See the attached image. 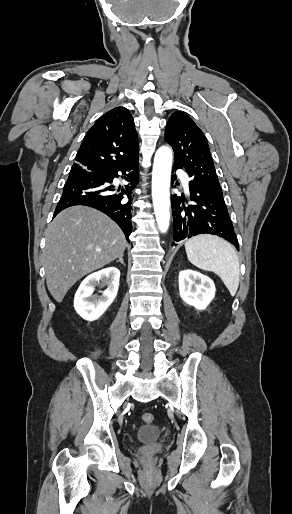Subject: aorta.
Masks as SVG:
<instances>
[{
  "instance_id": "obj_1",
  "label": "aorta",
  "mask_w": 292,
  "mask_h": 514,
  "mask_svg": "<svg viewBox=\"0 0 292 514\" xmlns=\"http://www.w3.org/2000/svg\"><path fill=\"white\" fill-rule=\"evenodd\" d=\"M173 154L167 146H161L154 158L152 172V200L154 214L160 232H167L170 222V178Z\"/></svg>"
}]
</instances>
